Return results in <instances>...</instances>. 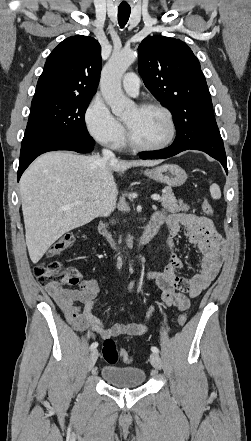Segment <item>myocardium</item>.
<instances>
[{"instance_id": "obj_1", "label": "myocardium", "mask_w": 251, "mask_h": 441, "mask_svg": "<svg viewBox=\"0 0 251 441\" xmlns=\"http://www.w3.org/2000/svg\"><path fill=\"white\" fill-rule=\"evenodd\" d=\"M137 108L140 110L158 109V110L162 111L168 119V122L170 125V133H169V136L167 137V139L160 144L145 145V144L140 143L138 140H136V138L132 134L130 128L125 123L126 140L130 144V146H132L134 149H137L140 151H159V150H163V149L167 148L169 145H171V143L174 141V139L176 137L177 126H176L174 116H173L172 112L170 111V109H168L166 106H164L163 104L158 103V102H143V103L138 104Z\"/></svg>"}]
</instances>
